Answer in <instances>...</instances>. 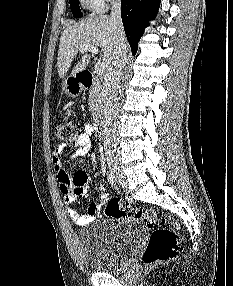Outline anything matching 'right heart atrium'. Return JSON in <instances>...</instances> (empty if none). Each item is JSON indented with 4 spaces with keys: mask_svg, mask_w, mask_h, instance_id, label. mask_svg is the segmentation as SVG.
I'll list each match as a JSON object with an SVG mask.
<instances>
[{
    "mask_svg": "<svg viewBox=\"0 0 233 286\" xmlns=\"http://www.w3.org/2000/svg\"><path fill=\"white\" fill-rule=\"evenodd\" d=\"M91 3V6L96 11H102L106 8L107 2L111 0H89Z\"/></svg>",
    "mask_w": 233,
    "mask_h": 286,
    "instance_id": "d8ad5b80",
    "label": "right heart atrium"
}]
</instances>
